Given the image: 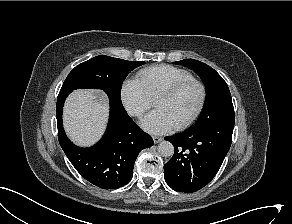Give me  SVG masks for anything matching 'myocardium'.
Wrapping results in <instances>:
<instances>
[{"instance_id":"myocardium-1","label":"myocardium","mask_w":292,"mask_h":224,"mask_svg":"<svg viewBox=\"0 0 292 224\" xmlns=\"http://www.w3.org/2000/svg\"><path fill=\"white\" fill-rule=\"evenodd\" d=\"M190 85H196L199 88L200 101H199V104H198L196 110L192 113V115L189 118H187L184 122L175 126L176 130H184V129L188 128L190 125H192L197 120V118L203 112L204 107L206 105V101H207V88H206L205 84L201 80L196 79L194 77H191V78L182 80L180 82H177V83L163 89L155 98V101H156L159 98L173 97Z\"/></svg>"}]
</instances>
